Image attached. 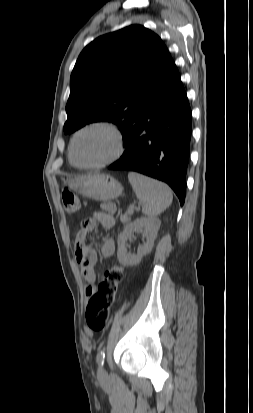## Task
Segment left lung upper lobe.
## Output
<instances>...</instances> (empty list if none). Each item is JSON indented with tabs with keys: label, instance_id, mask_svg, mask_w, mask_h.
<instances>
[{
	"label": "left lung upper lobe",
	"instance_id": "left-lung-upper-lobe-1",
	"mask_svg": "<svg viewBox=\"0 0 253 413\" xmlns=\"http://www.w3.org/2000/svg\"><path fill=\"white\" fill-rule=\"evenodd\" d=\"M171 61L160 37L141 25L98 37L83 49L72 71L64 132L109 121L124 138Z\"/></svg>",
	"mask_w": 253,
	"mask_h": 413
}]
</instances>
